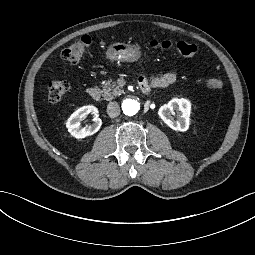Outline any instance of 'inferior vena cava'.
<instances>
[{"label":"inferior vena cava","instance_id":"602c4592","mask_svg":"<svg viewBox=\"0 0 255 255\" xmlns=\"http://www.w3.org/2000/svg\"><path fill=\"white\" fill-rule=\"evenodd\" d=\"M107 113L110 118H115L120 114L119 104L117 102H110L107 106Z\"/></svg>","mask_w":255,"mask_h":255}]
</instances>
